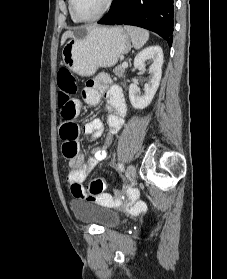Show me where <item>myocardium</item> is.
Wrapping results in <instances>:
<instances>
[{
  "label": "myocardium",
  "mask_w": 227,
  "mask_h": 279,
  "mask_svg": "<svg viewBox=\"0 0 227 279\" xmlns=\"http://www.w3.org/2000/svg\"><path fill=\"white\" fill-rule=\"evenodd\" d=\"M112 4H113V0H105V4H104L103 8L95 16L90 17V18H81L75 13L74 0H69V10H70L72 17L75 20H77L79 22H93V21H96V20L102 18L105 14H107L108 11L110 10Z\"/></svg>",
  "instance_id": "myocardium-1"
}]
</instances>
